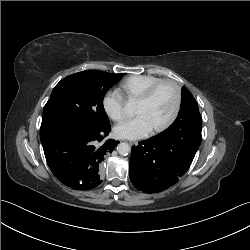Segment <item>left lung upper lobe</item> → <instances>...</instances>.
<instances>
[{
    "label": "left lung upper lobe",
    "mask_w": 250,
    "mask_h": 250,
    "mask_svg": "<svg viewBox=\"0 0 250 250\" xmlns=\"http://www.w3.org/2000/svg\"><path fill=\"white\" fill-rule=\"evenodd\" d=\"M182 119L194 121L202 120L196 100L194 99L190 91L185 87L182 88L181 108L174 123Z\"/></svg>",
    "instance_id": "1"
}]
</instances>
